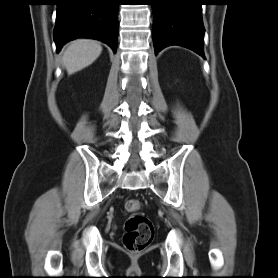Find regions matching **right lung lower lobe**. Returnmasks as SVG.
Wrapping results in <instances>:
<instances>
[{"mask_svg":"<svg viewBox=\"0 0 278 278\" xmlns=\"http://www.w3.org/2000/svg\"><path fill=\"white\" fill-rule=\"evenodd\" d=\"M54 40L57 52L76 38L108 44L114 53L118 35V0H57Z\"/></svg>","mask_w":278,"mask_h":278,"instance_id":"obj_1","label":"right lung lower lobe"}]
</instances>
